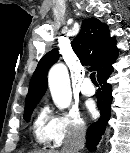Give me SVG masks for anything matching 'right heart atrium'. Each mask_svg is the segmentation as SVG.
Instances as JSON below:
<instances>
[{
	"label": "right heart atrium",
	"mask_w": 130,
	"mask_h": 153,
	"mask_svg": "<svg viewBox=\"0 0 130 153\" xmlns=\"http://www.w3.org/2000/svg\"><path fill=\"white\" fill-rule=\"evenodd\" d=\"M85 131V121L80 112L71 108L54 117L53 142L62 145L66 140L81 136Z\"/></svg>",
	"instance_id": "obj_1"
}]
</instances>
